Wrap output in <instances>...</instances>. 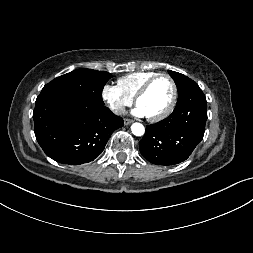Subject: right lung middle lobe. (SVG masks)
I'll use <instances>...</instances> for the list:
<instances>
[{"instance_id":"1","label":"right lung middle lobe","mask_w":253,"mask_h":253,"mask_svg":"<svg viewBox=\"0 0 253 253\" xmlns=\"http://www.w3.org/2000/svg\"><path fill=\"white\" fill-rule=\"evenodd\" d=\"M112 77L108 72L78 69L55 78L46 84L41 93H56L104 104L102 90Z\"/></svg>"}]
</instances>
